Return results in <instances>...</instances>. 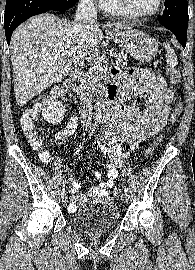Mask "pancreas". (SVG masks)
<instances>
[{"instance_id":"pancreas-1","label":"pancreas","mask_w":195,"mask_h":270,"mask_svg":"<svg viewBox=\"0 0 195 270\" xmlns=\"http://www.w3.org/2000/svg\"><path fill=\"white\" fill-rule=\"evenodd\" d=\"M116 64L121 67L127 65V55L122 54V53L117 54ZM84 77L88 83H96L100 81L103 78L101 64L97 61H94V63H91L90 68L85 73Z\"/></svg>"}]
</instances>
